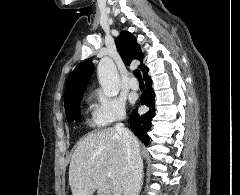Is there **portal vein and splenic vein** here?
<instances>
[{
  "mask_svg": "<svg viewBox=\"0 0 240 195\" xmlns=\"http://www.w3.org/2000/svg\"><path fill=\"white\" fill-rule=\"evenodd\" d=\"M113 195H119V193H113Z\"/></svg>",
  "mask_w": 240,
  "mask_h": 195,
  "instance_id": "portal-vein-and-splenic-vein-1",
  "label": "portal vein and splenic vein"
}]
</instances>
